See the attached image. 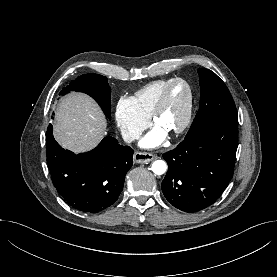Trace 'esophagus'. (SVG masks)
Here are the masks:
<instances>
[{"label": "esophagus", "mask_w": 277, "mask_h": 277, "mask_svg": "<svg viewBox=\"0 0 277 277\" xmlns=\"http://www.w3.org/2000/svg\"><path fill=\"white\" fill-rule=\"evenodd\" d=\"M133 160L135 163H149L154 160V155L151 153L145 152H135L133 156Z\"/></svg>", "instance_id": "1"}]
</instances>
